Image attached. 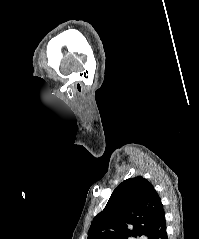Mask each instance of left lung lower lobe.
<instances>
[{"label": "left lung lower lobe", "instance_id": "1", "mask_svg": "<svg viewBox=\"0 0 199 239\" xmlns=\"http://www.w3.org/2000/svg\"><path fill=\"white\" fill-rule=\"evenodd\" d=\"M148 239H168L166 233L165 212L163 211L158 215L153 223L149 233Z\"/></svg>", "mask_w": 199, "mask_h": 239}]
</instances>
